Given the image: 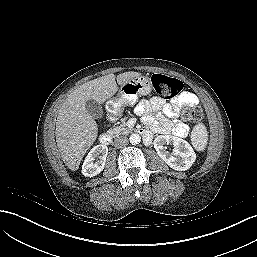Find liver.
Segmentation results:
<instances>
[{"instance_id":"1","label":"liver","mask_w":257,"mask_h":257,"mask_svg":"<svg viewBox=\"0 0 257 257\" xmlns=\"http://www.w3.org/2000/svg\"><path fill=\"white\" fill-rule=\"evenodd\" d=\"M138 72H125L115 77L108 74L91 80L74 90L61 106L56 122V142L65 165L72 171L95 142L98 135L96 121L87 112L86 101L93 99L104 103L127 81L140 76ZM117 80V83H116Z\"/></svg>"}]
</instances>
